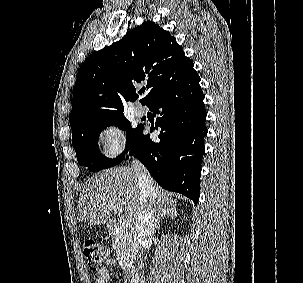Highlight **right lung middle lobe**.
Instances as JSON below:
<instances>
[{
    "label": "right lung middle lobe",
    "instance_id": "obj_1",
    "mask_svg": "<svg viewBox=\"0 0 303 283\" xmlns=\"http://www.w3.org/2000/svg\"><path fill=\"white\" fill-rule=\"evenodd\" d=\"M107 126H117L121 130L127 131L125 150L120 156L114 159L105 157L98 146L99 135ZM142 128L143 125H138L132 129L131 123L125 116L106 121L91 122L81 126L72 134V144L78 163L81 166L88 167L89 171H98L119 164L124 159L125 154L131 149Z\"/></svg>",
    "mask_w": 303,
    "mask_h": 283
}]
</instances>
